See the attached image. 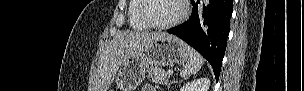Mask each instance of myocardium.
I'll use <instances>...</instances> for the list:
<instances>
[{
    "label": "myocardium",
    "instance_id": "obj_1",
    "mask_svg": "<svg viewBox=\"0 0 304 91\" xmlns=\"http://www.w3.org/2000/svg\"><path fill=\"white\" fill-rule=\"evenodd\" d=\"M148 1L149 0H140L141 2V7H140V18L143 21V23L151 29H155V30H165V29H170L173 28L175 26H177L178 24H180L185 17L187 16L188 13V4L186 0H179L181 3V11L180 14L173 19L172 21L165 23V24H155L153 22H151L146 14V10L148 8Z\"/></svg>",
    "mask_w": 304,
    "mask_h": 91
}]
</instances>
